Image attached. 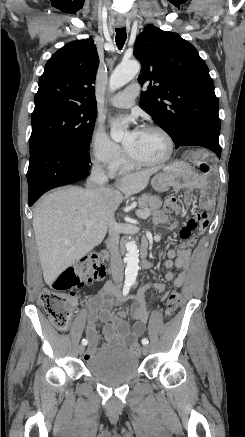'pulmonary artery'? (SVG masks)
Returning <instances> with one entry per match:
<instances>
[{"instance_id": "pulmonary-artery-1", "label": "pulmonary artery", "mask_w": 245, "mask_h": 437, "mask_svg": "<svg viewBox=\"0 0 245 437\" xmlns=\"http://www.w3.org/2000/svg\"><path fill=\"white\" fill-rule=\"evenodd\" d=\"M139 92V85L134 83L129 85L123 91L114 95L110 102L113 106L118 108H129L134 104L135 98Z\"/></svg>"}]
</instances>
